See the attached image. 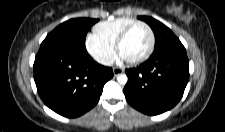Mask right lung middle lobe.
I'll list each match as a JSON object with an SVG mask.
<instances>
[{
	"label": "right lung middle lobe",
	"instance_id": "1",
	"mask_svg": "<svg viewBox=\"0 0 225 132\" xmlns=\"http://www.w3.org/2000/svg\"><path fill=\"white\" fill-rule=\"evenodd\" d=\"M98 19L76 18L57 26L47 35L40 47H57L76 52H87L85 38Z\"/></svg>",
	"mask_w": 225,
	"mask_h": 132
}]
</instances>
